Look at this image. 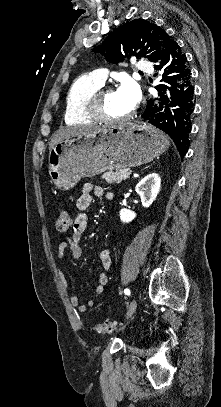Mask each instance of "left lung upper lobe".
Here are the masks:
<instances>
[{"label": "left lung upper lobe", "mask_w": 221, "mask_h": 407, "mask_svg": "<svg viewBox=\"0 0 221 407\" xmlns=\"http://www.w3.org/2000/svg\"><path fill=\"white\" fill-rule=\"evenodd\" d=\"M172 40L156 24L143 19H135L115 29L93 52L102 53L107 61L119 63L125 57H145L157 63L162 56L167 41Z\"/></svg>", "instance_id": "5c2ea615"}]
</instances>
